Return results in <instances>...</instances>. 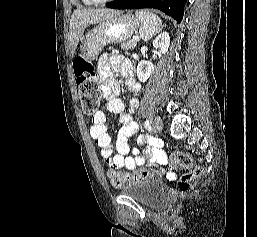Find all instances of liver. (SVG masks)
Listing matches in <instances>:
<instances>
[{"label": "liver", "instance_id": "obj_1", "mask_svg": "<svg viewBox=\"0 0 257 237\" xmlns=\"http://www.w3.org/2000/svg\"><path fill=\"white\" fill-rule=\"evenodd\" d=\"M118 11L112 9H77L73 12L70 20V47L74 55L82 35L90 24L99 23Z\"/></svg>", "mask_w": 257, "mask_h": 237}]
</instances>
